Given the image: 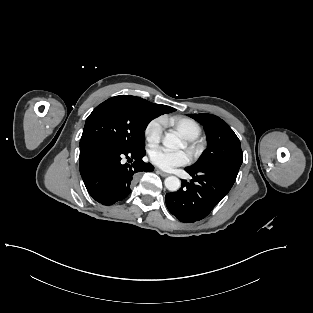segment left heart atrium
I'll return each mask as SVG.
<instances>
[{"label":"left heart atrium","mask_w":313,"mask_h":313,"mask_svg":"<svg viewBox=\"0 0 313 313\" xmlns=\"http://www.w3.org/2000/svg\"><path fill=\"white\" fill-rule=\"evenodd\" d=\"M149 157L154 165L167 171L190 161V155L186 151H171L163 147L151 149Z\"/></svg>","instance_id":"obj_1"}]
</instances>
